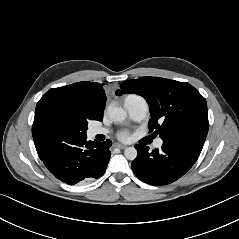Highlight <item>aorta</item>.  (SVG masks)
<instances>
[{"mask_svg":"<svg viewBox=\"0 0 239 239\" xmlns=\"http://www.w3.org/2000/svg\"><path fill=\"white\" fill-rule=\"evenodd\" d=\"M108 114L114 122H122L127 117L126 111L118 106L109 107ZM124 155L128 160L133 161L137 157V150L134 147H128L125 149Z\"/></svg>","mask_w":239,"mask_h":239,"instance_id":"obj_1","label":"aorta"}]
</instances>
